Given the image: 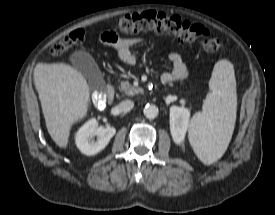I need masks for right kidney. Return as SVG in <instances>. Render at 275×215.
Instances as JSON below:
<instances>
[{"label": "right kidney", "mask_w": 275, "mask_h": 215, "mask_svg": "<svg viewBox=\"0 0 275 215\" xmlns=\"http://www.w3.org/2000/svg\"><path fill=\"white\" fill-rule=\"evenodd\" d=\"M114 127L99 126L96 119L87 121L77 132L75 143L81 153L91 156L103 150L115 135ZM97 136V140H94Z\"/></svg>", "instance_id": "1"}]
</instances>
